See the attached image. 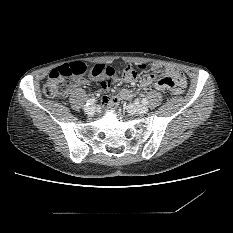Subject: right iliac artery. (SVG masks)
<instances>
[{
	"mask_svg": "<svg viewBox=\"0 0 233 233\" xmlns=\"http://www.w3.org/2000/svg\"><path fill=\"white\" fill-rule=\"evenodd\" d=\"M95 99L93 98V99H88L87 101H86V105H93L94 103H95Z\"/></svg>",
	"mask_w": 233,
	"mask_h": 233,
	"instance_id": "obj_1",
	"label": "right iliac artery"
}]
</instances>
